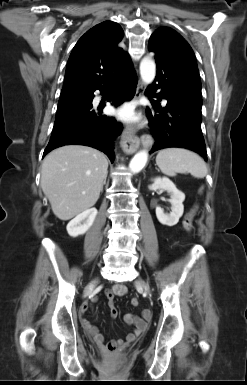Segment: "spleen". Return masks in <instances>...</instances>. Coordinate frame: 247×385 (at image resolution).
<instances>
[{
    "mask_svg": "<svg viewBox=\"0 0 247 385\" xmlns=\"http://www.w3.org/2000/svg\"><path fill=\"white\" fill-rule=\"evenodd\" d=\"M156 164L168 176L190 173L195 178H204L208 173L204 160L195 152L183 148L161 150L156 156Z\"/></svg>",
    "mask_w": 247,
    "mask_h": 385,
    "instance_id": "1",
    "label": "spleen"
}]
</instances>
